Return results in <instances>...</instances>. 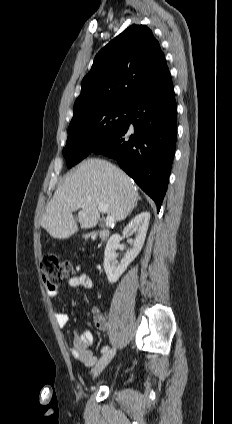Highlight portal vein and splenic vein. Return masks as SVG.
Instances as JSON below:
<instances>
[{
    "label": "portal vein and splenic vein",
    "instance_id": "1",
    "mask_svg": "<svg viewBox=\"0 0 232 424\" xmlns=\"http://www.w3.org/2000/svg\"><path fill=\"white\" fill-rule=\"evenodd\" d=\"M98 209H99V211H101L103 213H106L108 207H107L106 204L99 203L98 204ZM114 222H115L114 218L112 216H109L108 215L107 218H106V226H111V225L114 224Z\"/></svg>",
    "mask_w": 232,
    "mask_h": 424
}]
</instances>
